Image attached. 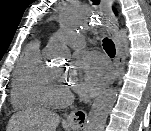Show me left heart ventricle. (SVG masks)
I'll use <instances>...</instances> for the list:
<instances>
[{
    "instance_id": "left-heart-ventricle-1",
    "label": "left heart ventricle",
    "mask_w": 151,
    "mask_h": 131,
    "mask_svg": "<svg viewBox=\"0 0 151 131\" xmlns=\"http://www.w3.org/2000/svg\"><path fill=\"white\" fill-rule=\"evenodd\" d=\"M55 74L51 80L50 88L54 94H61L65 91H69L66 83L63 70L61 68H54Z\"/></svg>"
}]
</instances>
